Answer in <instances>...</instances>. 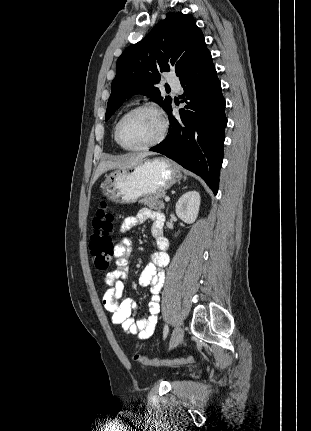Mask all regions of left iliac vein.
I'll use <instances>...</instances> for the list:
<instances>
[{
	"mask_svg": "<svg viewBox=\"0 0 311 431\" xmlns=\"http://www.w3.org/2000/svg\"><path fill=\"white\" fill-rule=\"evenodd\" d=\"M183 337L184 329L182 327H176L169 342V349L175 348L182 341Z\"/></svg>",
	"mask_w": 311,
	"mask_h": 431,
	"instance_id": "1",
	"label": "left iliac vein"
}]
</instances>
